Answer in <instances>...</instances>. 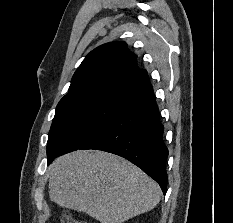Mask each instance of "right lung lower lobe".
<instances>
[{
  "mask_svg": "<svg viewBox=\"0 0 233 223\" xmlns=\"http://www.w3.org/2000/svg\"><path fill=\"white\" fill-rule=\"evenodd\" d=\"M122 111L79 149H97L122 156L152 177L166 192V159L163 125L148 81L122 93ZM48 163L64 152L48 153Z\"/></svg>",
  "mask_w": 233,
  "mask_h": 223,
  "instance_id": "98d812e1",
  "label": "right lung lower lobe"
}]
</instances>
